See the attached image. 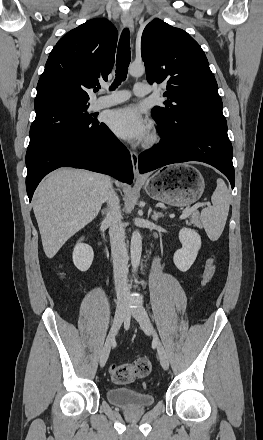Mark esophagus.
I'll return each mask as SVG.
<instances>
[{
  "label": "esophagus",
  "mask_w": 263,
  "mask_h": 440,
  "mask_svg": "<svg viewBox=\"0 0 263 440\" xmlns=\"http://www.w3.org/2000/svg\"><path fill=\"white\" fill-rule=\"evenodd\" d=\"M121 22L124 27L128 28L130 32L132 33L134 30V23L131 15L127 12L122 13L121 15ZM131 160H132V166H133V173L134 178L136 180L141 179V175L139 174V168H138V154L135 151H131Z\"/></svg>",
  "instance_id": "obj_1"
}]
</instances>
